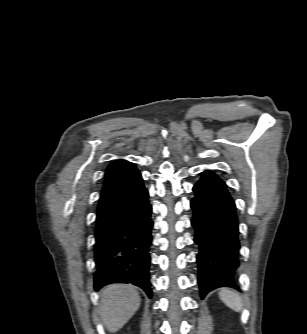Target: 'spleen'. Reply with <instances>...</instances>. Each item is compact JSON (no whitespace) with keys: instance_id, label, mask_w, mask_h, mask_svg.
Wrapping results in <instances>:
<instances>
[{"instance_id":"obj_1","label":"spleen","mask_w":307,"mask_h":334,"mask_svg":"<svg viewBox=\"0 0 307 334\" xmlns=\"http://www.w3.org/2000/svg\"><path fill=\"white\" fill-rule=\"evenodd\" d=\"M219 297L231 309L237 312L241 311L243 307L241 297L235 291L230 289H221L219 292Z\"/></svg>"}]
</instances>
